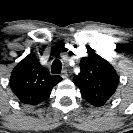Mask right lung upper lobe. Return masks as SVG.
I'll return each mask as SVG.
<instances>
[{
	"label": "right lung upper lobe",
	"instance_id": "cb5924a9",
	"mask_svg": "<svg viewBox=\"0 0 133 133\" xmlns=\"http://www.w3.org/2000/svg\"><path fill=\"white\" fill-rule=\"evenodd\" d=\"M61 80L60 76H51L36 57L28 55L13 69L10 86L22 103L37 105L50 95L52 88Z\"/></svg>",
	"mask_w": 133,
	"mask_h": 133
}]
</instances>
